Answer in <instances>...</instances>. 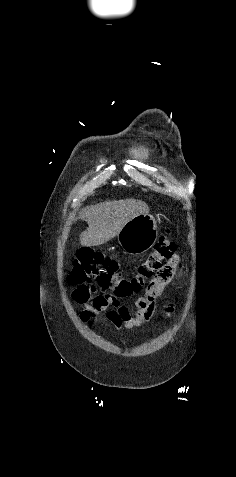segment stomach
<instances>
[{
  "instance_id": "1",
  "label": "stomach",
  "mask_w": 236,
  "mask_h": 477,
  "mask_svg": "<svg viewBox=\"0 0 236 477\" xmlns=\"http://www.w3.org/2000/svg\"><path fill=\"white\" fill-rule=\"evenodd\" d=\"M158 230L152 215L140 214L128 221L117 235L118 243L128 254L140 255L156 242Z\"/></svg>"
}]
</instances>
